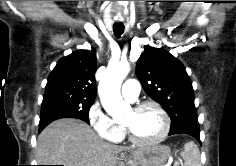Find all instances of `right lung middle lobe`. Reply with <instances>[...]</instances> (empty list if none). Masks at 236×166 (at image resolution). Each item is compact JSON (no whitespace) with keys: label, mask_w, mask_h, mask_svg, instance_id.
Returning <instances> with one entry per match:
<instances>
[{"label":"right lung middle lobe","mask_w":236,"mask_h":166,"mask_svg":"<svg viewBox=\"0 0 236 166\" xmlns=\"http://www.w3.org/2000/svg\"><path fill=\"white\" fill-rule=\"evenodd\" d=\"M94 100L66 94L44 95L39 126L48 125L60 118H77L89 124V109Z\"/></svg>","instance_id":"dd1d6c3e"}]
</instances>
